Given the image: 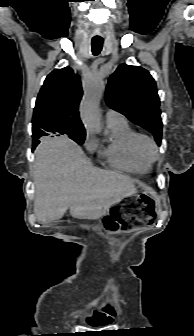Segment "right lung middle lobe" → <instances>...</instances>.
Here are the masks:
<instances>
[{"mask_svg": "<svg viewBox=\"0 0 194 336\" xmlns=\"http://www.w3.org/2000/svg\"><path fill=\"white\" fill-rule=\"evenodd\" d=\"M68 136L78 144H82L85 140V133H72L68 134Z\"/></svg>", "mask_w": 194, "mask_h": 336, "instance_id": "right-lung-middle-lobe-1", "label": "right lung middle lobe"}]
</instances>
